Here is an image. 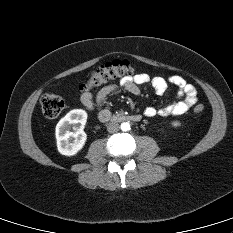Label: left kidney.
<instances>
[{
	"label": "left kidney",
	"mask_w": 233,
	"mask_h": 233,
	"mask_svg": "<svg viewBox=\"0 0 233 233\" xmlns=\"http://www.w3.org/2000/svg\"><path fill=\"white\" fill-rule=\"evenodd\" d=\"M172 125H173L174 127H178V126H180V122L174 121V122H172Z\"/></svg>",
	"instance_id": "left-kidney-1"
}]
</instances>
